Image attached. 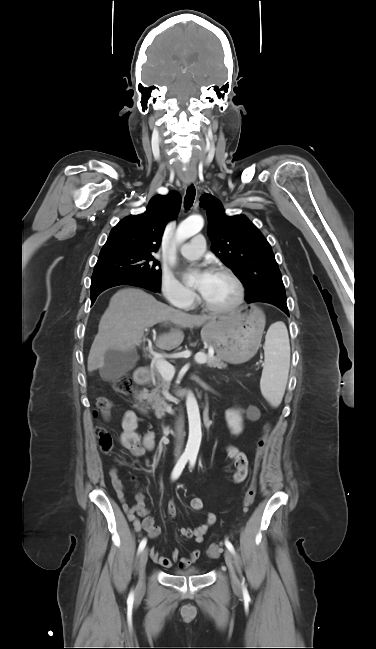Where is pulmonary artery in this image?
<instances>
[{"instance_id": "e3ab8cb5", "label": "pulmonary artery", "mask_w": 376, "mask_h": 649, "mask_svg": "<svg viewBox=\"0 0 376 649\" xmlns=\"http://www.w3.org/2000/svg\"><path fill=\"white\" fill-rule=\"evenodd\" d=\"M205 247L206 243L204 236L202 234H198L194 236L190 242L183 244L180 247V252L186 258L195 259L203 254Z\"/></svg>"}]
</instances>
